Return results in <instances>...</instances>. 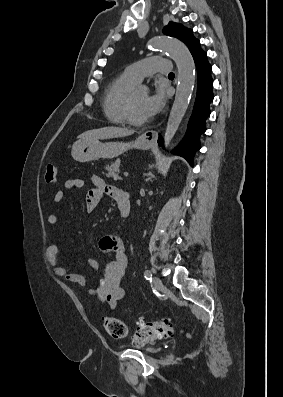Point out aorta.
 Here are the masks:
<instances>
[{"instance_id": "aorta-1", "label": "aorta", "mask_w": 283, "mask_h": 397, "mask_svg": "<svg viewBox=\"0 0 283 397\" xmlns=\"http://www.w3.org/2000/svg\"><path fill=\"white\" fill-rule=\"evenodd\" d=\"M151 46L168 52L178 68V85L175 100L170 111L164 136L165 147L167 148L178 130L191 99L195 84V64L187 46L177 39L155 37L151 41ZM138 89L145 90L146 87L140 86Z\"/></svg>"}]
</instances>
